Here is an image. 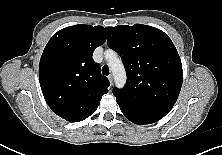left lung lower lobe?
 I'll list each match as a JSON object with an SVG mask.
<instances>
[{"instance_id":"obj_1","label":"left lung lower lobe","mask_w":222,"mask_h":155,"mask_svg":"<svg viewBox=\"0 0 222 155\" xmlns=\"http://www.w3.org/2000/svg\"><path fill=\"white\" fill-rule=\"evenodd\" d=\"M119 107H120L121 112L125 115L127 119H129L131 122L138 125L151 124L161 119L160 117H157V116L134 112L123 106H119Z\"/></svg>"}]
</instances>
